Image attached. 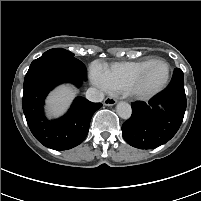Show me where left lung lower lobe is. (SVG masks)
Returning a JSON list of instances; mask_svg holds the SVG:
<instances>
[{
  "mask_svg": "<svg viewBox=\"0 0 201 201\" xmlns=\"http://www.w3.org/2000/svg\"><path fill=\"white\" fill-rule=\"evenodd\" d=\"M165 107V111L159 109ZM184 75L174 70L170 84L153 97L148 104H131L132 115L122 125L124 140L139 149H153L165 144L178 131L186 110Z\"/></svg>",
  "mask_w": 201,
  "mask_h": 201,
  "instance_id": "0a47b994",
  "label": "left lung lower lobe"
}]
</instances>
